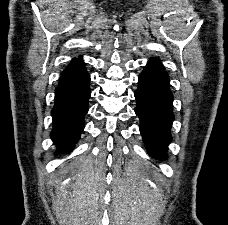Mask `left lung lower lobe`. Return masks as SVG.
Masks as SVG:
<instances>
[{
    "label": "left lung lower lobe",
    "mask_w": 228,
    "mask_h": 225,
    "mask_svg": "<svg viewBox=\"0 0 228 225\" xmlns=\"http://www.w3.org/2000/svg\"><path fill=\"white\" fill-rule=\"evenodd\" d=\"M135 99V113L140 119V132L147 151L155 158L165 159L172 139L173 95L168 74L158 58H151L140 74Z\"/></svg>",
    "instance_id": "1"
}]
</instances>
